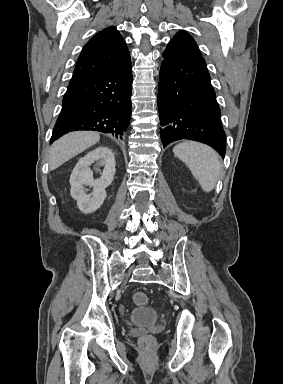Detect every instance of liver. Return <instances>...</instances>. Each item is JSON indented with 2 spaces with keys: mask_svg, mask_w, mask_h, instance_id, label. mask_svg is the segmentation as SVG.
<instances>
[{
  "mask_svg": "<svg viewBox=\"0 0 283 384\" xmlns=\"http://www.w3.org/2000/svg\"><path fill=\"white\" fill-rule=\"evenodd\" d=\"M99 132H71L52 144L49 152L50 170H56L77 154L99 142Z\"/></svg>",
  "mask_w": 283,
  "mask_h": 384,
  "instance_id": "liver-1",
  "label": "liver"
}]
</instances>
